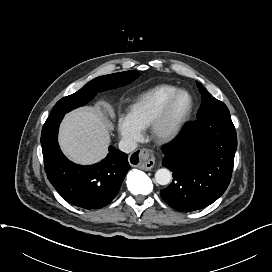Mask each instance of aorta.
<instances>
[{
	"label": "aorta",
	"instance_id": "obj_1",
	"mask_svg": "<svg viewBox=\"0 0 272 272\" xmlns=\"http://www.w3.org/2000/svg\"><path fill=\"white\" fill-rule=\"evenodd\" d=\"M172 178L171 172L166 168H161L155 173V181L160 185H167Z\"/></svg>",
	"mask_w": 272,
	"mask_h": 272
}]
</instances>
